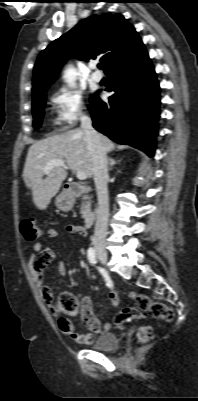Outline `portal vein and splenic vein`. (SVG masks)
Masks as SVG:
<instances>
[{
	"instance_id": "obj_1",
	"label": "portal vein and splenic vein",
	"mask_w": 198,
	"mask_h": 401,
	"mask_svg": "<svg viewBox=\"0 0 198 401\" xmlns=\"http://www.w3.org/2000/svg\"><path fill=\"white\" fill-rule=\"evenodd\" d=\"M54 166H60L63 167L65 169H67L68 167L66 166L65 162L59 159H55L50 161L44 168V173H49L50 170L54 167ZM76 176L79 180H85L87 178V175L85 172L83 171H78L76 173Z\"/></svg>"
}]
</instances>
